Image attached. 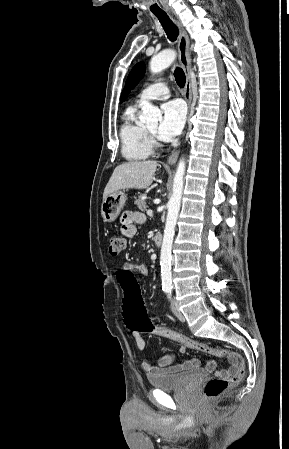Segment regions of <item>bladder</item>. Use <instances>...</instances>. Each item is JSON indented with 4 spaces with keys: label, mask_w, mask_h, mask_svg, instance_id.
I'll return each mask as SVG.
<instances>
[{
    "label": "bladder",
    "mask_w": 289,
    "mask_h": 449,
    "mask_svg": "<svg viewBox=\"0 0 289 449\" xmlns=\"http://www.w3.org/2000/svg\"><path fill=\"white\" fill-rule=\"evenodd\" d=\"M205 371L201 369H193L188 372L181 373H161L148 376L150 385L154 388L172 391L185 387L186 385L205 376Z\"/></svg>",
    "instance_id": "obj_1"
}]
</instances>
